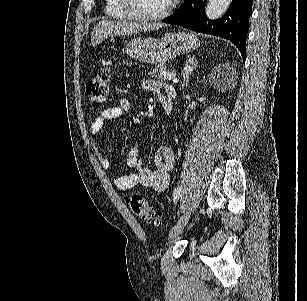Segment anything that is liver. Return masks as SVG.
I'll use <instances>...</instances> for the list:
<instances>
[{
  "label": "liver",
  "mask_w": 307,
  "mask_h": 301,
  "mask_svg": "<svg viewBox=\"0 0 307 301\" xmlns=\"http://www.w3.org/2000/svg\"><path fill=\"white\" fill-rule=\"evenodd\" d=\"M166 24L162 22H127V20H99L95 24L91 34V44L97 46L108 36H125V34H137V32H146V30H158Z\"/></svg>",
  "instance_id": "liver-1"
}]
</instances>
